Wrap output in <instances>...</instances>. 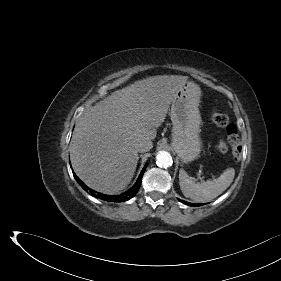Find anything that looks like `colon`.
<instances>
[{"label":"colon","mask_w":281,"mask_h":281,"mask_svg":"<svg viewBox=\"0 0 281 281\" xmlns=\"http://www.w3.org/2000/svg\"><path fill=\"white\" fill-rule=\"evenodd\" d=\"M210 120L215 125L226 129V141L219 142L216 145V150L220 153H224L230 149L234 159L238 160L240 157L241 146L236 126L231 124L228 116L220 111H213L210 114Z\"/></svg>","instance_id":"colon-1"}]
</instances>
